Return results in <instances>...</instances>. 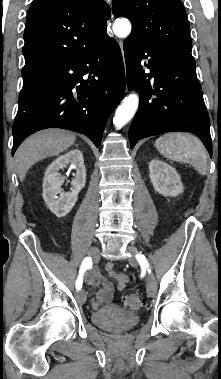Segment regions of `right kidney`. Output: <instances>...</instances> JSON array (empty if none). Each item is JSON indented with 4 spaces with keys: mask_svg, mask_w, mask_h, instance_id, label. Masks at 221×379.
I'll list each match as a JSON object with an SVG mask.
<instances>
[{
    "mask_svg": "<svg viewBox=\"0 0 221 379\" xmlns=\"http://www.w3.org/2000/svg\"><path fill=\"white\" fill-rule=\"evenodd\" d=\"M76 169V174L71 182L70 192L64 193L61 186L64 179L59 173L60 169L69 165ZM86 183V170L83 154L74 149L59 156L47 168L43 179V198L48 208L57 216H66L78 200V194ZM59 195V196H58Z\"/></svg>",
    "mask_w": 221,
    "mask_h": 379,
    "instance_id": "right-kidney-1",
    "label": "right kidney"
}]
</instances>
